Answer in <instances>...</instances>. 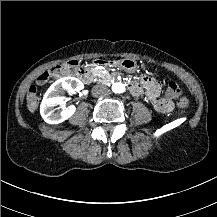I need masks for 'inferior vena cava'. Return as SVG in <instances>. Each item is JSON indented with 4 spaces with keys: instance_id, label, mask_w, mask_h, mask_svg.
<instances>
[{
    "instance_id": "obj_1",
    "label": "inferior vena cava",
    "mask_w": 217,
    "mask_h": 217,
    "mask_svg": "<svg viewBox=\"0 0 217 217\" xmlns=\"http://www.w3.org/2000/svg\"><path fill=\"white\" fill-rule=\"evenodd\" d=\"M92 93L95 97L104 96L109 93V89L104 85H96L93 88Z\"/></svg>"
}]
</instances>
